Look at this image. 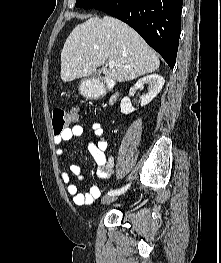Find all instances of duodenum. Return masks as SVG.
I'll use <instances>...</instances> for the list:
<instances>
[{
	"instance_id": "obj_1",
	"label": "duodenum",
	"mask_w": 221,
	"mask_h": 263,
	"mask_svg": "<svg viewBox=\"0 0 221 263\" xmlns=\"http://www.w3.org/2000/svg\"><path fill=\"white\" fill-rule=\"evenodd\" d=\"M110 86H111V82H107L105 84H101V85L96 86L94 88V97H99L100 95H102L104 93V91L107 90ZM117 97H118L117 94L112 95L109 99V103L114 104Z\"/></svg>"
}]
</instances>
